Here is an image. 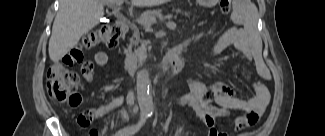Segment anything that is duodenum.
I'll return each mask as SVG.
<instances>
[{"label":"duodenum","mask_w":325,"mask_h":136,"mask_svg":"<svg viewBox=\"0 0 325 136\" xmlns=\"http://www.w3.org/2000/svg\"><path fill=\"white\" fill-rule=\"evenodd\" d=\"M128 22L126 20H119L116 22V28L122 33H126L128 30ZM186 60V45L179 46L168 52L163 62L158 65L155 70L162 74H168L172 72L180 71ZM124 67L129 73H137L144 70L147 66L130 55H128L124 61Z\"/></svg>","instance_id":"1"}]
</instances>
